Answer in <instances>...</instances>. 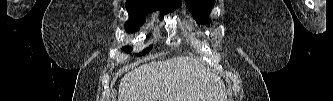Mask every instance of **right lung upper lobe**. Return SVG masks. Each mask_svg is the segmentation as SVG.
<instances>
[{
  "label": "right lung upper lobe",
  "mask_w": 333,
  "mask_h": 101,
  "mask_svg": "<svg viewBox=\"0 0 333 101\" xmlns=\"http://www.w3.org/2000/svg\"><path fill=\"white\" fill-rule=\"evenodd\" d=\"M127 1H131V0H127ZM150 1H158V2L171 3V4H181V0H150Z\"/></svg>",
  "instance_id": "cb5924a9"
}]
</instances>
